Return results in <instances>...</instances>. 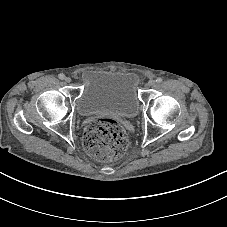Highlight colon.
Segmentation results:
<instances>
[{
  "mask_svg": "<svg viewBox=\"0 0 227 227\" xmlns=\"http://www.w3.org/2000/svg\"><path fill=\"white\" fill-rule=\"evenodd\" d=\"M87 152L102 161H113L125 152L128 139L123 126L112 119L92 122L84 134Z\"/></svg>",
  "mask_w": 227,
  "mask_h": 227,
  "instance_id": "1",
  "label": "colon"
}]
</instances>
